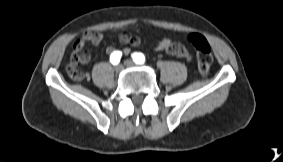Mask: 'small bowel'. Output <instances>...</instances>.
Masks as SVG:
<instances>
[{
    "label": "small bowel",
    "instance_id": "obj_1",
    "mask_svg": "<svg viewBox=\"0 0 283 162\" xmlns=\"http://www.w3.org/2000/svg\"><path fill=\"white\" fill-rule=\"evenodd\" d=\"M103 34L99 31H87L84 32L83 35L77 39L72 47V53L70 61L67 65V72L70 75L71 70H77L79 64H87L91 60V56L83 52V49L87 43H91L93 45H98L103 40ZM119 41L122 44H127L130 46H138L140 44V39L137 36L129 32H123L119 35ZM154 50L157 52H166L170 55H174L177 57H181L186 59L188 62L192 60V55L185 48V46L180 42H174L170 38H163L159 42H157L154 46ZM113 48H107V53H111ZM125 54L129 53V49L124 50Z\"/></svg>",
    "mask_w": 283,
    "mask_h": 162
}]
</instances>
